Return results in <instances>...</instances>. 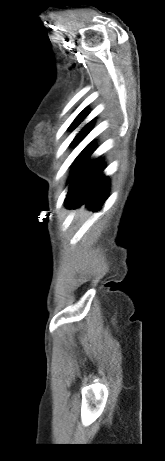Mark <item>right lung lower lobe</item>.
Returning <instances> with one entry per match:
<instances>
[{
  "label": "right lung lower lobe",
  "mask_w": 165,
  "mask_h": 461,
  "mask_svg": "<svg viewBox=\"0 0 165 461\" xmlns=\"http://www.w3.org/2000/svg\"><path fill=\"white\" fill-rule=\"evenodd\" d=\"M90 146L79 157L69 179V190L65 199L66 207L77 208L86 204L90 209L99 210L108 197L109 180L103 173L105 165L102 159H92Z\"/></svg>",
  "instance_id": "right-lung-lower-lobe-1"
}]
</instances>
